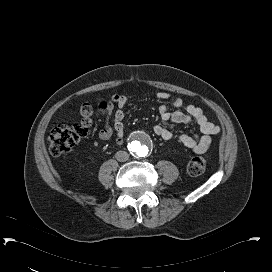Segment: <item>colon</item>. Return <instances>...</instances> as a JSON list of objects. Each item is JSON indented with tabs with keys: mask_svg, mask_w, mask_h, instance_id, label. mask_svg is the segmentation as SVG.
Here are the masks:
<instances>
[{
	"mask_svg": "<svg viewBox=\"0 0 272 272\" xmlns=\"http://www.w3.org/2000/svg\"><path fill=\"white\" fill-rule=\"evenodd\" d=\"M101 113L109 110V103L101 101L97 104ZM93 108L85 105L80 111V117L73 122H61L49 134L50 152L54 156L65 155L84 138L92 124ZM206 169V160L202 156L190 159L187 171L191 175H200Z\"/></svg>",
	"mask_w": 272,
	"mask_h": 272,
	"instance_id": "obj_1",
	"label": "colon"
}]
</instances>
